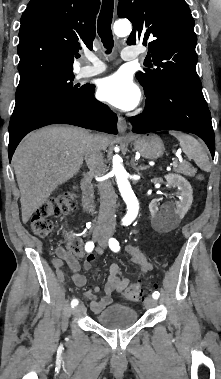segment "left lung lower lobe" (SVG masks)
I'll return each instance as SVG.
<instances>
[{"label":"left lung lower lobe","mask_w":221,"mask_h":379,"mask_svg":"<svg viewBox=\"0 0 221 379\" xmlns=\"http://www.w3.org/2000/svg\"><path fill=\"white\" fill-rule=\"evenodd\" d=\"M143 113L130 118L134 133L179 130L198 135L215 153L211 114L202 91L158 83L145 92Z\"/></svg>","instance_id":"left-lung-lower-lobe-1"}]
</instances>
